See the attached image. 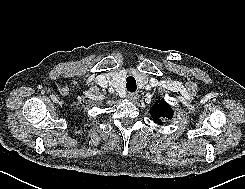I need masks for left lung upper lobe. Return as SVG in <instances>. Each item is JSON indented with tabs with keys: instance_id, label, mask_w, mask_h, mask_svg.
I'll use <instances>...</instances> for the list:
<instances>
[{
	"instance_id": "left-lung-upper-lobe-1",
	"label": "left lung upper lobe",
	"mask_w": 245,
	"mask_h": 189,
	"mask_svg": "<svg viewBox=\"0 0 245 189\" xmlns=\"http://www.w3.org/2000/svg\"><path fill=\"white\" fill-rule=\"evenodd\" d=\"M151 116L155 123L161 125L162 121L172 118L173 111L171 110L170 105L161 99L152 106Z\"/></svg>"
}]
</instances>
